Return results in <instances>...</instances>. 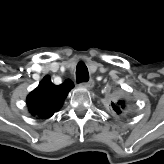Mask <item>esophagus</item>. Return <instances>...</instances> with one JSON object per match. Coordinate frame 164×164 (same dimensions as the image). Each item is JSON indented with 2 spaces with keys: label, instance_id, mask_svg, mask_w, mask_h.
<instances>
[{
  "label": "esophagus",
  "instance_id": "1",
  "mask_svg": "<svg viewBox=\"0 0 164 164\" xmlns=\"http://www.w3.org/2000/svg\"><path fill=\"white\" fill-rule=\"evenodd\" d=\"M81 85L87 89H91L94 86V81L92 79L82 82Z\"/></svg>",
  "mask_w": 164,
  "mask_h": 164
}]
</instances>
